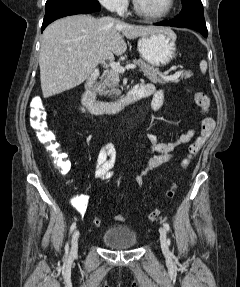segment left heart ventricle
<instances>
[{"instance_id": "1", "label": "left heart ventricle", "mask_w": 240, "mask_h": 287, "mask_svg": "<svg viewBox=\"0 0 240 287\" xmlns=\"http://www.w3.org/2000/svg\"><path fill=\"white\" fill-rule=\"evenodd\" d=\"M139 6L150 12H161L167 6L168 0H136Z\"/></svg>"}]
</instances>
